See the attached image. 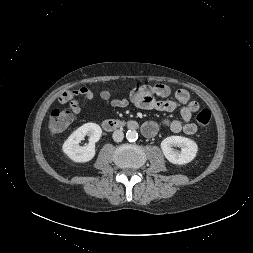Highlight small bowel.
<instances>
[{
    "instance_id": "c3829d8e",
    "label": "small bowel",
    "mask_w": 253,
    "mask_h": 253,
    "mask_svg": "<svg viewBox=\"0 0 253 253\" xmlns=\"http://www.w3.org/2000/svg\"><path fill=\"white\" fill-rule=\"evenodd\" d=\"M170 93V87L164 83H158L153 86L142 85L131 91L129 99L136 107L146 110L172 112L180 107L181 121L165 120L164 124L174 133L183 132L186 135H194L197 132V126L192 122V116L198 111L199 104L190 99V94L185 89H178L173 100L159 99L168 97ZM79 97L90 100L93 98V93L86 87L68 90L59 96L58 102L60 104L69 103L72 113L78 114L83 105ZM128 103L126 98L111 100V104L114 107H126ZM157 131L158 124L155 121H146L142 126V132L147 137L154 136Z\"/></svg>"
}]
</instances>
